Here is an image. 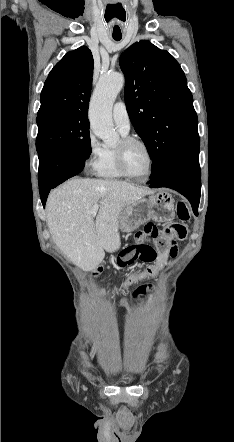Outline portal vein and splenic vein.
Here are the masks:
<instances>
[{
	"instance_id": "18ae733b",
	"label": "portal vein and splenic vein",
	"mask_w": 234,
	"mask_h": 442,
	"mask_svg": "<svg viewBox=\"0 0 234 442\" xmlns=\"http://www.w3.org/2000/svg\"><path fill=\"white\" fill-rule=\"evenodd\" d=\"M99 209V204H95L92 208V210L90 211L91 214L96 215L97 211Z\"/></svg>"
}]
</instances>
